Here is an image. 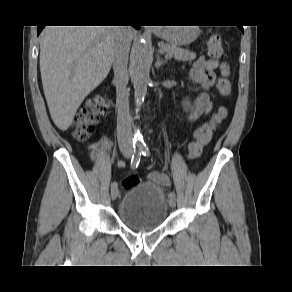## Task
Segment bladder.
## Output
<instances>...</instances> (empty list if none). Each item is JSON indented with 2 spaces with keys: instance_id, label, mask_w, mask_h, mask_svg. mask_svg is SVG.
Masks as SVG:
<instances>
[{
  "instance_id": "31cf9c89",
  "label": "bladder",
  "mask_w": 292,
  "mask_h": 292,
  "mask_svg": "<svg viewBox=\"0 0 292 292\" xmlns=\"http://www.w3.org/2000/svg\"><path fill=\"white\" fill-rule=\"evenodd\" d=\"M168 210L163 190L150 182L126 189L118 205V217L128 229L148 232L164 224Z\"/></svg>"
}]
</instances>
